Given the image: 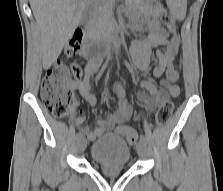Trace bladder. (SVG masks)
Instances as JSON below:
<instances>
[{
	"label": "bladder",
	"mask_w": 223,
	"mask_h": 191,
	"mask_svg": "<svg viewBox=\"0 0 223 191\" xmlns=\"http://www.w3.org/2000/svg\"><path fill=\"white\" fill-rule=\"evenodd\" d=\"M90 156L100 166H127L132 157L127 141L114 134L96 140L91 145Z\"/></svg>",
	"instance_id": "obj_1"
}]
</instances>
